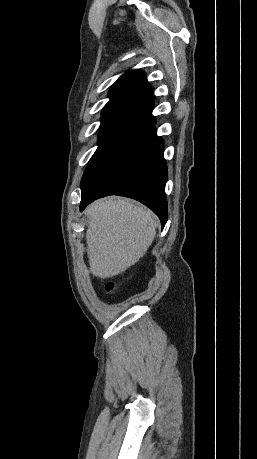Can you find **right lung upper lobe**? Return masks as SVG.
Segmentation results:
<instances>
[{"instance_id":"1","label":"right lung upper lobe","mask_w":257,"mask_h":459,"mask_svg":"<svg viewBox=\"0 0 257 459\" xmlns=\"http://www.w3.org/2000/svg\"><path fill=\"white\" fill-rule=\"evenodd\" d=\"M109 102L102 112L128 111L139 114L153 107V89L148 85L143 71H130L111 87Z\"/></svg>"}]
</instances>
